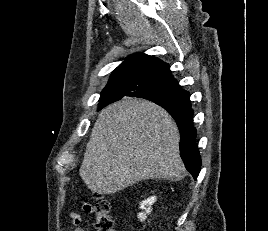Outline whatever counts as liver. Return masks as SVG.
Masks as SVG:
<instances>
[{
	"instance_id": "1",
	"label": "liver",
	"mask_w": 268,
	"mask_h": 231,
	"mask_svg": "<svg viewBox=\"0 0 268 231\" xmlns=\"http://www.w3.org/2000/svg\"><path fill=\"white\" fill-rule=\"evenodd\" d=\"M176 123L157 104L127 98L104 108L87 143L80 176L97 194H113L141 180L185 176Z\"/></svg>"
}]
</instances>
